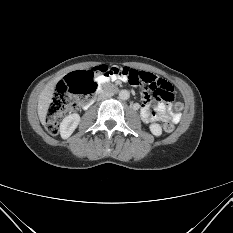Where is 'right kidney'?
I'll use <instances>...</instances> for the list:
<instances>
[{
	"mask_svg": "<svg viewBox=\"0 0 233 233\" xmlns=\"http://www.w3.org/2000/svg\"><path fill=\"white\" fill-rule=\"evenodd\" d=\"M80 122V116L77 113L66 116L60 124V134L63 139L71 136Z\"/></svg>",
	"mask_w": 233,
	"mask_h": 233,
	"instance_id": "1",
	"label": "right kidney"
}]
</instances>
